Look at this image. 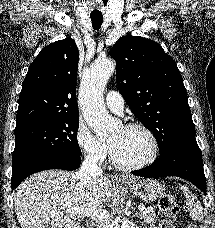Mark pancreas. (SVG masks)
<instances>
[{"mask_svg":"<svg viewBox=\"0 0 215 228\" xmlns=\"http://www.w3.org/2000/svg\"><path fill=\"white\" fill-rule=\"evenodd\" d=\"M140 218L142 222H145V224H151V226H154L155 212H153V210H143V212H140Z\"/></svg>","mask_w":215,"mask_h":228,"instance_id":"cf45deb5","label":"pancreas"}]
</instances>
